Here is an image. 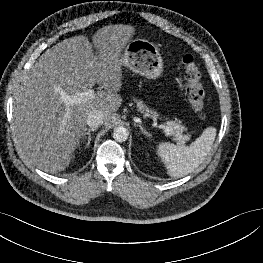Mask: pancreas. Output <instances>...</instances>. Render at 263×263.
I'll use <instances>...</instances> for the list:
<instances>
[{
    "label": "pancreas",
    "mask_w": 263,
    "mask_h": 263,
    "mask_svg": "<svg viewBox=\"0 0 263 263\" xmlns=\"http://www.w3.org/2000/svg\"><path fill=\"white\" fill-rule=\"evenodd\" d=\"M137 107L138 110L142 113H144L145 116H150L151 114L157 115L156 112L150 110L146 104H144L142 101H137ZM167 127L169 128V133L170 135L175 136V141L179 144H183L185 141L190 139V134L183 135V132L186 131L187 129L185 126L180 124L179 122L176 121H168L167 122Z\"/></svg>",
    "instance_id": "1"
}]
</instances>
